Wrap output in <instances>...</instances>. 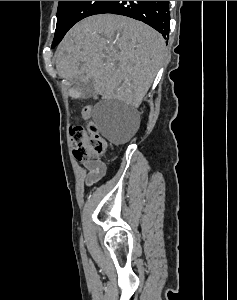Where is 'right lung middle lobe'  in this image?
<instances>
[{
	"label": "right lung middle lobe",
	"mask_w": 237,
	"mask_h": 300,
	"mask_svg": "<svg viewBox=\"0 0 237 300\" xmlns=\"http://www.w3.org/2000/svg\"><path fill=\"white\" fill-rule=\"evenodd\" d=\"M108 1H59L57 25L52 43L54 48L66 32L81 19L94 15Z\"/></svg>",
	"instance_id": "obj_1"
}]
</instances>
